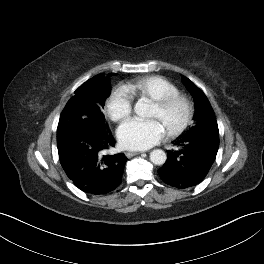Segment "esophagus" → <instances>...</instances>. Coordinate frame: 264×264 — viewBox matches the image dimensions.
<instances>
[{
    "instance_id": "34e87169",
    "label": "esophagus",
    "mask_w": 264,
    "mask_h": 264,
    "mask_svg": "<svg viewBox=\"0 0 264 264\" xmlns=\"http://www.w3.org/2000/svg\"><path fill=\"white\" fill-rule=\"evenodd\" d=\"M142 152H126L125 154H126V156L128 157V158H131V157H133V156H135V155H139V154H141Z\"/></svg>"
}]
</instances>
